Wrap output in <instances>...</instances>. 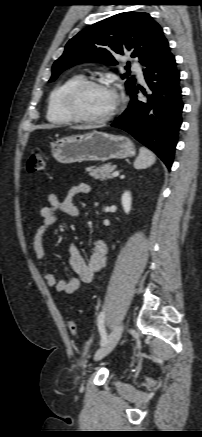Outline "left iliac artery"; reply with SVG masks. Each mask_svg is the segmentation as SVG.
Returning <instances> with one entry per match:
<instances>
[{
	"instance_id": "obj_1",
	"label": "left iliac artery",
	"mask_w": 202,
	"mask_h": 437,
	"mask_svg": "<svg viewBox=\"0 0 202 437\" xmlns=\"http://www.w3.org/2000/svg\"><path fill=\"white\" fill-rule=\"evenodd\" d=\"M104 317H105V312H100V314L98 315V319H97V326H98L99 333L101 336V342H100L101 346H103L107 341V333H106L105 327H104Z\"/></svg>"
}]
</instances>
